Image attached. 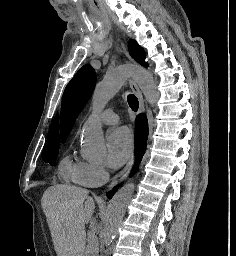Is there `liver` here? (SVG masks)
Segmentation results:
<instances>
[{
    "label": "liver",
    "instance_id": "6515ba94",
    "mask_svg": "<svg viewBox=\"0 0 236 256\" xmlns=\"http://www.w3.org/2000/svg\"><path fill=\"white\" fill-rule=\"evenodd\" d=\"M88 190L56 184L43 194L42 208L52 234L57 256H83L85 224L90 222L95 202Z\"/></svg>",
    "mask_w": 236,
    "mask_h": 256
}]
</instances>
